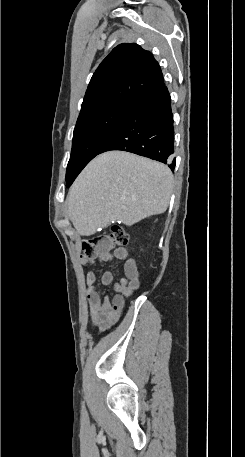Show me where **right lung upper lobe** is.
<instances>
[{
    "label": "right lung upper lobe",
    "instance_id": "obj_1",
    "mask_svg": "<svg viewBox=\"0 0 245 457\" xmlns=\"http://www.w3.org/2000/svg\"><path fill=\"white\" fill-rule=\"evenodd\" d=\"M164 84L158 62L137 44H120L101 62L87 88L80 114L111 106L131 108Z\"/></svg>",
    "mask_w": 245,
    "mask_h": 457
}]
</instances>
